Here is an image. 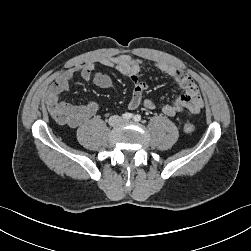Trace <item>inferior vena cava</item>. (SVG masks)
<instances>
[{"mask_svg":"<svg viewBox=\"0 0 251 251\" xmlns=\"http://www.w3.org/2000/svg\"><path fill=\"white\" fill-rule=\"evenodd\" d=\"M119 119H120L119 116H112L111 117V124L114 125L115 120H119Z\"/></svg>","mask_w":251,"mask_h":251,"instance_id":"602c4592","label":"inferior vena cava"}]
</instances>
